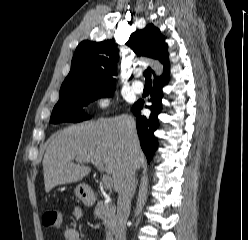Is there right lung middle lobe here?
I'll use <instances>...</instances> for the list:
<instances>
[{
    "label": "right lung middle lobe",
    "mask_w": 248,
    "mask_h": 240,
    "mask_svg": "<svg viewBox=\"0 0 248 240\" xmlns=\"http://www.w3.org/2000/svg\"><path fill=\"white\" fill-rule=\"evenodd\" d=\"M114 90L115 89L72 88L61 91L59 101L52 111L50 122H80L87 120L90 116L84 113L83 107L98 98L111 96Z\"/></svg>",
    "instance_id": "right-lung-middle-lobe-1"
}]
</instances>
